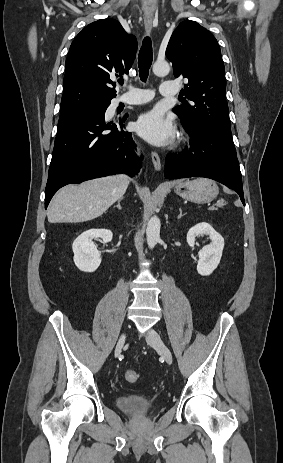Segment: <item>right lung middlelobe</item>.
<instances>
[{
	"mask_svg": "<svg viewBox=\"0 0 283 463\" xmlns=\"http://www.w3.org/2000/svg\"><path fill=\"white\" fill-rule=\"evenodd\" d=\"M103 102H106V101H103ZM95 103H96V102L90 103V104H87V105H84V106L79 107V108L61 111V112H60V118L65 117V116H68V115L73 114V113H75V112H78V111H80V110H83V109H85V108H88V107L92 106V105L95 104Z\"/></svg>",
	"mask_w": 283,
	"mask_h": 463,
	"instance_id": "right-lung-middle-lobe-1",
	"label": "right lung middle lobe"
}]
</instances>
